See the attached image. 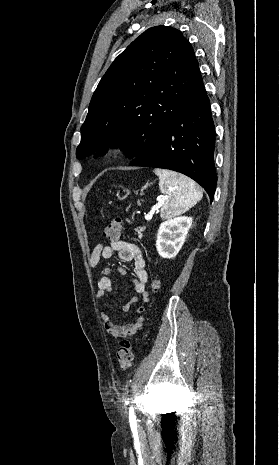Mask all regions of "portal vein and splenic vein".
<instances>
[{"instance_id": "portal-vein-and-splenic-vein-1", "label": "portal vein and splenic vein", "mask_w": 279, "mask_h": 465, "mask_svg": "<svg viewBox=\"0 0 279 465\" xmlns=\"http://www.w3.org/2000/svg\"><path fill=\"white\" fill-rule=\"evenodd\" d=\"M164 200H165V198H161V199L159 200V202H158L157 207L161 206V205L163 204ZM152 216H153V212H150L149 214H146V215H145V220H147V221L151 220V219H152Z\"/></svg>"}]
</instances>
